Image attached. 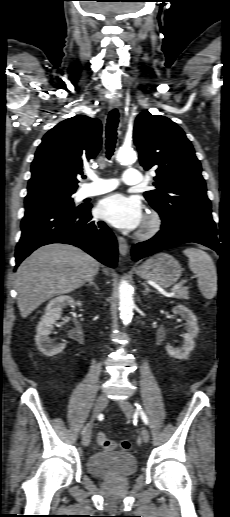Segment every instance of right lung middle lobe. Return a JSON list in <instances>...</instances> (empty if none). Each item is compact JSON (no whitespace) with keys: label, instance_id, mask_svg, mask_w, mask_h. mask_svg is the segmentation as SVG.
Listing matches in <instances>:
<instances>
[{"label":"right lung middle lobe","instance_id":"obj_1","mask_svg":"<svg viewBox=\"0 0 230 517\" xmlns=\"http://www.w3.org/2000/svg\"><path fill=\"white\" fill-rule=\"evenodd\" d=\"M42 206H55L67 209H79L83 206L76 207L73 202L72 194L57 195L35 201L25 202V208L28 207H42Z\"/></svg>","mask_w":230,"mask_h":517}]
</instances>
